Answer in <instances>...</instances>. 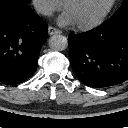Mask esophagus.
I'll return each mask as SVG.
<instances>
[{
	"mask_svg": "<svg viewBox=\"0 0 128 128\" xmlns=\"http://www.w3.org/2000/svg\"><path fill=\"white\" fill-rule=\"evenodd\" d=\"M48 33L49 35H56V34H61V31L59 29H56L55 27L49 26L48 27Z\"/></svg>",
	"mask_w": 128,
	"mask_h": 128,
	"instance_id": "1",
	"label": "esophagus"
}]
</instances>
